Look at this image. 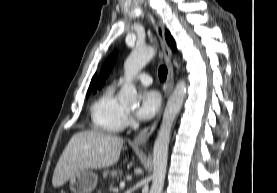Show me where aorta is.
Wrapping results in <instances>:
<instances>
[{
	"instance_id": "1",
	"label": "aorta",
	"mask_w": 277,
	"mask_h": 193,
	"mask_svg": "<svg viewBox=\"0 0 277 193\" xmlns=\"http://www.w3.org/2000/svg\"><path fill=\"white\" fill-rule=\"evenodd\" d=\"M155 49L153 47H136L128 56L124 63L125 83L120 90L119 100L121 103L136 105L138 95L133 78L141 69L154 57ZM186 82L180 80L172 95L170 96L162 118V124L154 143L153 149V175L150 193H161L164 185L167 169V155L170 141V134L173 123L181 110L184 98L186 96Z\"/></svg>"
}]
</instances>
